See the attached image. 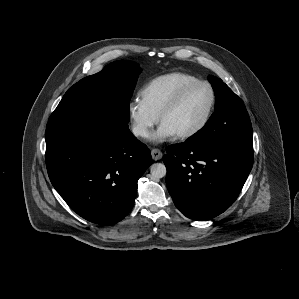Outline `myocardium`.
<instances>
[{
    "mask_svg": "<svg viewBox=\"0 0 299 299\" xmlns=\"http://www.w3.org/2000/svg\"><path fill=\"white\" fill-rule=\"evenodd\" d=\"M198 85H203L208 88L210 93L209 106L202 121L197 126H195L193 129L187 132L176 135L177 138L182 140L189 139L198 135L208 125L216 104V93L213 86L208 81L205 80H195L193 82L184 85L175 93V95L170 99V101L162 108L158 116L159 121L162 122L163 118L179 105V103L182 101V99L187 94V92L191 90L193 87Z\"/></svg>",
    "mask_w": 299,
    "mask_h": 299,
    "instance_id": "f54148a6",
    "label": "myocardium"
}]
</instances>
